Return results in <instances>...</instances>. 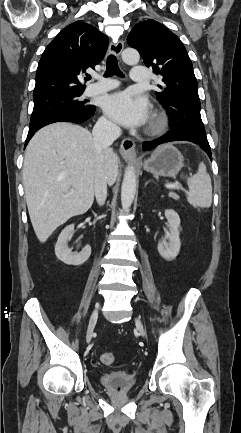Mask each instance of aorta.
I'll use <instances>...</instances> for the list:
<instances>
[{"instance_id":"aorta-1","label":"aorta","mask_w":241,"mask_h":433,"mask_svg":"<svg viewBox=\"0 0 241 433\" xmlns=\"http://www.w3.org/2000/svg\"><path fill=\"white\" fill-rule=\"evenodd\" d=\"M122 59L127 64H137L140 59V55L135 49H125L122 52ZM137 180L134 166L130 165L127 167L124 174L122 188H121V203L124 211L129 210L136 194Z\"/></svg>"}]
</instances>
